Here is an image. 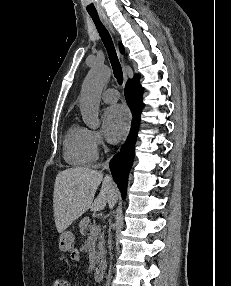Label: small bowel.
<instances>
[{
    "label": "small bowel",
    "instance_id": "obj_1",
    "mask_svg": "<svg viewBox=\"0 0 231 286\" xmlns=\"http://www.w3.org/2000/svg\"><path fill=\"white\" fill-rule=\"evenodd\" d=\"M70 258L73 262H77L80 259V253L78 250H72L70 253Z\"/></svg>",
    "mask_w": 231,
    "mask_h": 286
}]
</instances>
